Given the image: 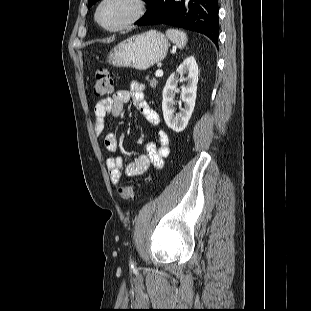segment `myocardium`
Listing matches in <instances>:
<instances>
[{"label": "myocardium", "mask_w": 311, "mask_h": 311, "mask_svg": "<svg viewBox=\"0 0 311 311\" xmlns=\"http://www.w3.org/2000/svg\"><path fill=\"white\" fill-rule=\"evenodd\" d=\"M109 0H101L95 10V20L96 22L105 30L109 32H118L125 29H128L132 25H134L144 14V1L143 0H125L131 5L132 11L130 15L120 24L116 26H107L100 19V11L102 6L107 3Z\"/></svg>", "instance_id": "1"}]
</instances>
